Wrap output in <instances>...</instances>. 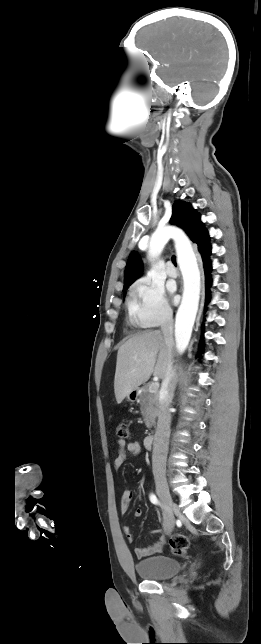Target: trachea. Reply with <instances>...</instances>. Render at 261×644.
<instances>
[{
  "label": "trachea",
  "mask_w": 261,
  "mask_h": 644,
  "mask_svg": "<svg viewBox=\"0 0 261 644\" xmlns=\"http://www.w3.org/2000/svg\"><path fill=\"white\" fill-rule=\"evenodd\" d=\"M172 262H173V264H174L175 266L177 265V263H176V257H175V256H173V257H172Z\"/></svg>",
  "instance_id": "3493384b"
}]
</instances>
